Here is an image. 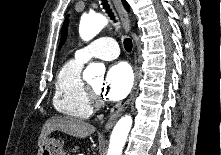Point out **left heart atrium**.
<instances>
[{
	"mask_svg": "<svg viewBox=\"0 0 221 155\" xmlns=\"http://www.w3.org/2000/svg\"><path fill=\"white\" fill-rule=\"evenodd\" d=\"M133 85V73L128 64L121 62L111 66L106 74L101 93L104 98L118 101L127 96Z\"/></svg>",
	"mask_w": 221,
	"mask_h": 155,
	"instance_id": "39dd6f15",
	"label": "left heart atrium"
}]
</instances>
